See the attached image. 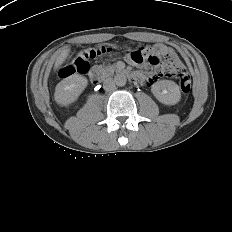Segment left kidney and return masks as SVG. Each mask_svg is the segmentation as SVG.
<instances>
[{
	"label": "left kidney",
	"mask_w": 232,
	"mask_h": 232,
	"mask_svg": "<svg viewBox=\"0 0 232 232\" xmlns=\"http://www.w3.org/2000/svg\"><path fill=\"white\" fill-rule=\"evenodd\" d=\"M151 91L156 99L165 105H175L181 98L179 86L171 80H161L154 83Z\"/></svg>",
	"instance_id": "5707ae66"
}]
</instances>
